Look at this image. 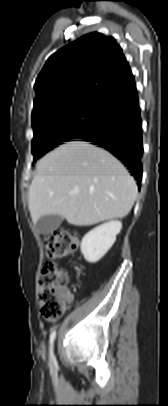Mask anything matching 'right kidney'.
<instances>
[{
  "mask_svg": "<svg viewBox=\"0 0 168 406\" xmlns=\"http://www.w3.org/2000/svg\"><path fill=\"white\" fill-rule=\"evenodd\" d=\"M121 228L120 221L112 220L89 231L81 242L84 258L90 263L98 262L112 247Z\"/></svg>",
  "mask_w": 168,
  "mask_h": 406,
  "instance_id": "right-kidney-1",
  "label": "right kidney"
}]
</instances>
